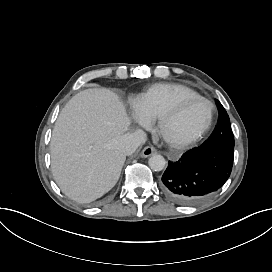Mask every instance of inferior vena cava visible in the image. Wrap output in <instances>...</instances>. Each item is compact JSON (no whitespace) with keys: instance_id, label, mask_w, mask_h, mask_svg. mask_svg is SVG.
Here are the masks:
<instances>
[{"instance_id":"obj_1","label":"inferior vena cava","mask_w":272,"mask_h":272,"mask_svg":"<svg viewBox=\"0 0 272 272\" xmlns=\"http://www.w3.org/2000/svg\"><path fill=\"white\" fill-rule=\"evenodd\" d=\"M147 134L142 130H136L131 134L121 136L117 140V148L126 155L132 152L139 146L145 143Z\"/></svg>"}]
</instances>
